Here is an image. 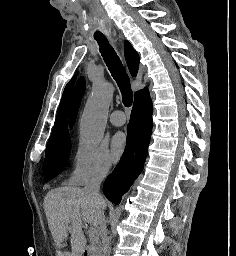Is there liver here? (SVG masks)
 I'll list each match as a JSON object with an SVG mask.
<instances>
[{
	"label": "liver",
	"mask_w": 236,
	"mask_h": 256,
	"mask_svg": "<svg viewBox=\"0 0 236 256\" xmlns=\"http://www.w3.org/2000/svg\"><path fill=\"white\" fill-rule=\"evenodd\" d=\"M51 236L57 246L56 256H82L86 250V238L82 232V222L100 226L103 222L105 202L102 210L90 194L81 188L63 186L46 194L43 202ZM70 234L71 252H62L63 242Z\"/></svg>",
	"instance_id": "1"
}]
</instances>
